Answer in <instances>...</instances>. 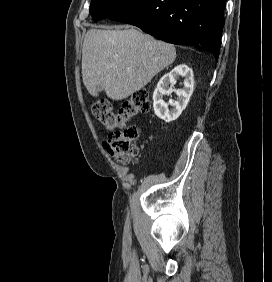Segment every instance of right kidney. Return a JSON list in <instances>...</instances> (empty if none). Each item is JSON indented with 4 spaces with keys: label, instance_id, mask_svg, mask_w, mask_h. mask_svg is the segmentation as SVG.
<instances>
[{
    "label": "right kidney",
    "instance_id": "1",
    "mask_svg": "<svg viewBox=\"0 0 272 282\" xmlns=\"http://www.w3.org/2000/svg\"><path fill=\"white\" fill-rule=\"evenodd\" d=\"M180 76L184 78V86L182 89L175 90L178 98L177 101H169V104L174 107L169 111V104L164 102L163 96L171 94L176 79ZM193 90L194 75L192 69L185 64L177 65L169 73L161 77L153 93V108L156 116L166 123L176 120L186 108Z\"/></svg>",
    "mask_w": 272,
    "mask_h": 282
}]
</instances>
